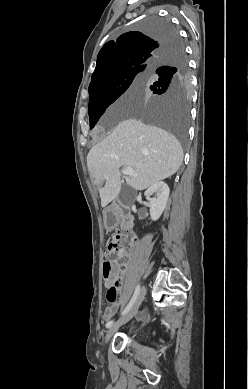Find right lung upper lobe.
Wrapping results in <instances>:
<instances>
[{
	"mask_svg": "<svg viewBox=\"0 0 248 389\" xmlns=\"http://www.w3.org/2000/svg\"><path fill=\"white\" fill-rule=\"evenodd\" d=\"M176 47V36L154 38L138 31L122 34L116 41L107 42L100 50L89 90L112 72L136 67L148 70Z\"/></svg>",
	"mask_w": 248,
	"mask_h": 389,
	"instance_id": "1",
	"label": "right lung upper lobe"
}]
</instances>
